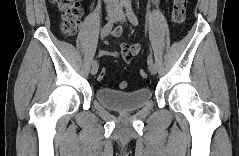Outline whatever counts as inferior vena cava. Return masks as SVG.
I'll list each match as a JSON object with an SVG mask.
<instances>
[{"mask_svg": "<svg viewBox=\"0 0 239 156\" xmlns=\"http://www.w3.org/2000/svg\"><path fill=\"white\" fill-rule=\"evenodd\" d=\"M107 2H111L113 3L114 5H116L118 3V0H107Z\"/></svg>", "mask_w": 239, "mask_h": 156, "instance_id": "602c4592", "label": "inferior vena cava"}]
</instances>
